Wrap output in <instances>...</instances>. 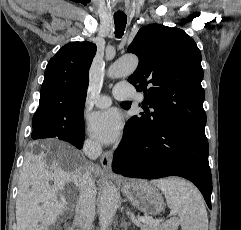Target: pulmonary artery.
Returning <instances> with one entry per match:
<instances>
[{
  "mask_svg": "<svg viewBox=\"0 0 241 230\" xmlns=\"http://www.w3.org/2000/svg\"><path fill=\"white\" fill-rule=\"evenodd\" d=\"M113 95L116 99L125 100L134 98V88L130 83H119L113 89ZM111 98L107 95H101L95 100V105L99 108L110 106Z\"/></svg>",
  "mask_w": 241,
  "mask_h": 230,
  "instance_id": "obj_1",
  "label": "pulmonary artery"
}]
</instances>
